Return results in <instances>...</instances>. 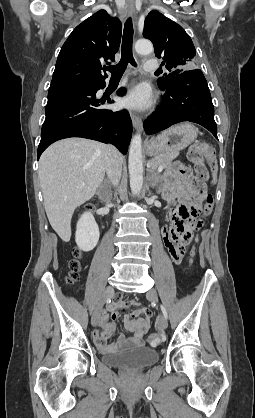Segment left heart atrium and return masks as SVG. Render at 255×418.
Here are the masks:
<instances>
[{"label": "left heart atrium", "instance_id": "1", "mask_svg": "<svg viewBox=\"0 0 255 418\" xmlns=\"http://www.w3.org/2000/svg\"><path fill=\"white\" fill-rule=\"evenodd\" d=\"M152 103V95L149 88L145 85L136 86L125 97L124 104L131 109H145Z\"/></svg>", "mask_w": 255, "mask_h": 418}]
</instances>
